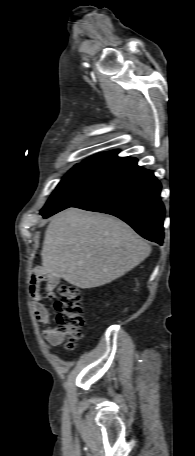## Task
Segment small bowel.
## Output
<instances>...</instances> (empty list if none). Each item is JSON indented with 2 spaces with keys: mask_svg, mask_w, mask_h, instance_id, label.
<instances>
[{
  "mask_svg": "<svg viewBox=\"0 0 195 456\" xmlns=\"http://www.w3.org/2000/svg\"><path fill=\"white\" fill-rule=\"evenodd\" d=\"M40 278H42V279H39L38 277H33L31 279L29 291H30L32 298L34 299L33 310H34V314H35L37 320L46 324L49 322L50 314H49L47 307L42 302L43 294L40 289L39 283H40V280H44L45 281L44 290L47 294H50L55 287L56 279L52 275H44V276H41ZM43 335L49 343L54 344V345L60 344L63 341V334L61 332H59L58 330H56L55 328L45 329L43 331Z\"/></svg>",
  "mask_w": 195,
  "mask_h": 456,
  "instance_id": "small-bowel-1",
  "label": "small bowel"
}]
</instances>
